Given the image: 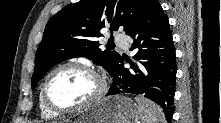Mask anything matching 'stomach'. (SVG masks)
Here are the masks:
<instances>
[{"label":"stomach","instance_id":"obj_1","mask_svg":"<svg viewBox=\"0 0 221 123\" xmlns=\"http://www.w3.org/2000/svg\"><path fill=\"white\" fill-rule=\"evenodd\" d=\"M138 105L129 97L103 98L67 119L65 123H138Z\"/></svg>","mask_w":221,"mask_h":123}]
</instances>
